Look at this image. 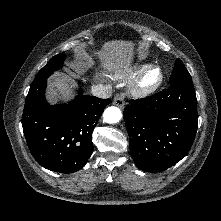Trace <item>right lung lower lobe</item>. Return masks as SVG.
<instances>
[{"label": "right lung lower lobe", "mask_w": 221, "mask_h": 221, "mask_svg": "<svg viewBox=\"0 0 221 221\" xmlns=\"http://www.w3.org/2000/svg\"><path fill=\"white\" fill-rule=\"evenodd\" d=\"M47 78L30 86L22 116L24 135L41 166L73 173L91 156L92 132L111 100L89 97L80 90L68 104L50 106L45 100Z\"/></svg>", "instance_id": "1"}]
</instances>
